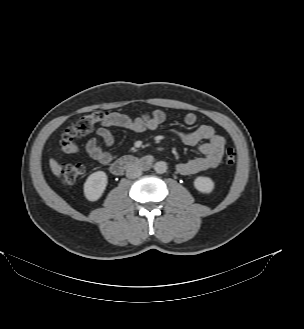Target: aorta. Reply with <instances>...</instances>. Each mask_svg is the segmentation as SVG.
Instances as JSON below:
<instances>
[{"label":"aorta","instance_id":"aorta-1","mask_svg":"<svg viewBox=\"0 0 304 329\" xmlns=\"http://www.w3.org/2000/svg\"><path fill=\"white\" fill-rule=\"evenodd\" d=\"M154 170L158 174H163L167 170V164L164 161H158L154 164Z\"/></svg>","mask_w":304,"mask_h":329}]
</instances>
